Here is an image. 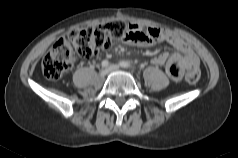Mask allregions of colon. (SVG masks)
Instances as JSON below:
<instances>
[{"mask_svg":"<svg viewBox=\"0 0 238 158\" xmlns=\"http://www.w3.org/2000/svg\"><path fill=\"white\" fill-rule=\"evenodd\" d=\"M131 33V24L121 20H114L97 28L71 30L46 54L42 61V72L47 79L57 80L73 67L77 58H90L108 49L115 40L129 39ZM185 79L189 84L197 83L200 70L188 69Z\"/></svg>","mask_w":238,"mask_h":158,"instance_id":"colon-1","label":"colon"}]
</instances>
